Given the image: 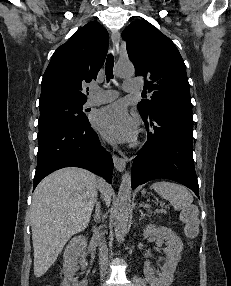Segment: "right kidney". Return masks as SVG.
<instances>
[{
	"mask_svg": "<svg viewBox=\"0 0 231 286\" xmlns=\"http://www.w3.org/2000/svg\"><path fill=\"white\" fill-rule=\"evenodd\" d=\"M86 246V238L82 235H79L72 238L65 248L63 256L64 280L62 282V286H87V280L78 282V280L74 278L75 272L79 269V265L82 269L87 266V262L85 260ZM80 257L81 259L78 260Z\"/></svg>",
	"mask_w": 231,
	"mask_h": 286,
	"instance_id": "ca27d5eb",
	"label": "right kidney"
}]
</instances>
